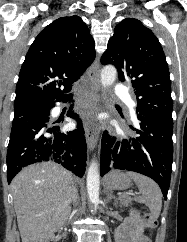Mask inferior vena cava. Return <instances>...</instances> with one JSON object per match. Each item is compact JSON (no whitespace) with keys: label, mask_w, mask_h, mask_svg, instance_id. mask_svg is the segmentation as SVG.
<instances>
[{"label":"inferior vena cava","mask_w":187,"mask_h":242,"mask_svg":"<svg viewBox=\"0 0 187 242\" xmlns=\"http://www.w3.org/2000/svg\"><path fill=\"white\" fill-rule=\"evenodd\" d=\"M71 199L74 203L77 202V199H78V191L76 189V187L74 186L73 189H72V194H71Z\"/></svg>","instance_id":"obj_1"}]
</instances>
